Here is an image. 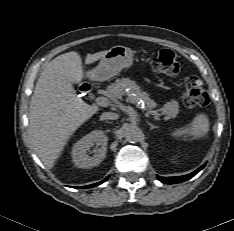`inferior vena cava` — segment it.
Wrapping results in <instances>:
<instances>
[{"mask_svg": "<svg viewBox=\"0 0 234 231\" xmlns=\"http://www.w3.org/2000/svg\"><path fill=\"white\" fill-rule=\"evenodd\" d=\"M119 115L117 113H113V112H104L101 115V120H116L118 119Z\"/></svg>", "mask_w": 234, "mask_h": 231, "instance_id": "1", "label": "inferior vena cava"}]
</instances>
